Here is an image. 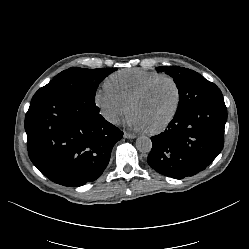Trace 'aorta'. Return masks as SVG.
Instances as JSON below:
<instances>
[{"mask_svg":"<svg viewBox=\"0 0 249 249\" xmlns=\"http://www.w3.org/2000/svg\"><path fill=\"white\" fill-rule=\"evenodd\" d=\"M136 148L142 153H149L152 149V141L147 136H140L136 140Z\"/></svg>","mask_w":249,"mask_h":249,"instance_id":"obj_1","label":"aorta"}]
</instances>
